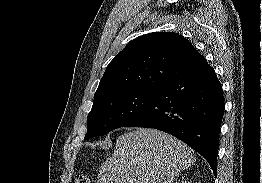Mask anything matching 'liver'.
<instances>
[{"label":"liver","instance_id":"obj_1","mask_svg":"<svg viewBox=\"0 0 262 183\" xmlns=\"http://www.w3.org/2000/svg\"><path fill=\"white\" fill-rule=\"evenodd\" d=\"M196 161L195 152L174 136L137 128L118 137L101 166L98 183H173Z\"/></svg>","mask_w":262,"mask_h":183}]
</instances>
